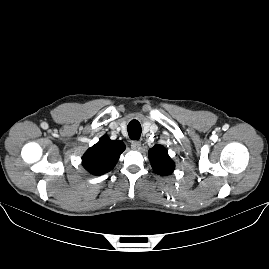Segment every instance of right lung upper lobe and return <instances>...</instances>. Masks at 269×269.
I'll return each mask as SVG.
<instances>
[{"label": "right lung upper lobe", "instance_id": "1", "mask_svg": "<svg viewBox=\"0 0 269 269\" xmlns=\"http://www.w3.org/2000/svg\"><path fill=\"white\" fill-rule=\"evenodd\" d=\"M125 148L122 141L110 140L105 135L84 154L83 166L93 175H102L114 168Z\"/></svg>", "mask_w": 269, "mask_h": 269}]
</instances>
